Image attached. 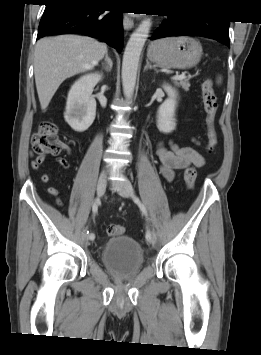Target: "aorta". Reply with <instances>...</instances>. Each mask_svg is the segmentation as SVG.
<instances>
[{
	"label": "aorta",
	"instance_id": "obj_1",
	"mask_svg": "<svg viewBox=\"0 0 261 355\" xmlns=\"http://www.w3.org/2000/svg\"><path fill=\"white\" fill-rule=\"evenodd\" d=\"M151 29V21L143 20L132 33L123 55L122 85L126 99H131L134 94L137 70L143 46Z\"/></svg>",
	"mask_w": 261,
	"mask_h": 355
}]
</instances>
